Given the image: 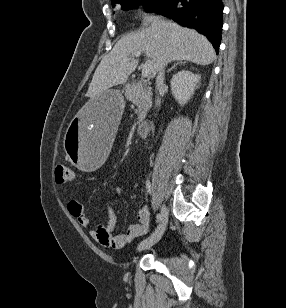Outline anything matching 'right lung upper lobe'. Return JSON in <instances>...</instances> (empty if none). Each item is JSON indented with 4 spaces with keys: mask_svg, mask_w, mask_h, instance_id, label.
<instances>
[{
    "mask_svg": "<svg viewBox=\"0 0 286 308\" xmlns=\"http://www.w3.org/2000/svg\"><path fill=\"white\" fill-rule=\"evenodd\" d=\"M112 3L116 2V0H111Z\"/></svg>",
    "mask_w": 286,
    "mask_h": 308,
    "instance_id": "obj_1",
    "label": "right lung upper lobe"
}]
</instances>
